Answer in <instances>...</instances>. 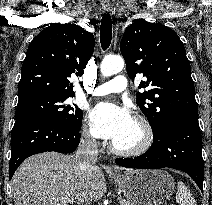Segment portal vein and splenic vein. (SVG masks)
Listing matches in <instances>:
<instances>
[{
  "label": "portal vein and splenic vein",
  "mask_w": 212,
  "mask_h": 205,
  "mask_svg": "<svg viewBox=\"0 0 212 205\" xmlns=\"http://www.w3.org/2000/svg\"><path fill=\"white\" fill-rule=\"evenodd\" d=\"M62 202H63L64 205H65V203L71 202V199H70V198H63V199H62ZM77 204H80V202H77Z\"/></svg>",
  "instance_id": "18ae733b"
}]
</instances>
